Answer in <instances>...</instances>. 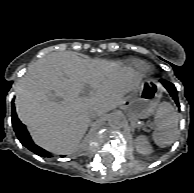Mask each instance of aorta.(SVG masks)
Segmentation results:
<instances>
[{
  "mask_svg": "<svg viewBox=\"0 0 194 193\" xmlns=\"http://www.w3.org/2000/svg\"><path fill=\"white\" fill-rule=\"evenodd\" d=\"M108 123L112 128H122L125 125V119L119 113H113L108 117Z\"/></svg>",
  "mask_w": 194,
  "mask_h": 193,
  "instance_id": "1",
  "label": "aorta"
}]
</instances>
